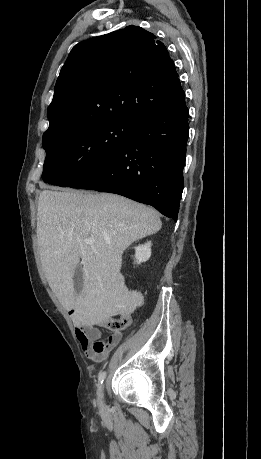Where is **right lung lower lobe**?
Here are the masks:
<instances>
[{
	"mask_svg": "<svg viewBox=\"0 0 261 459\" xmlns=\"http://www.w3.org/2000/svg\"><path fill=\"white\" fill-rule=\"evenodd\" d=\"M188 114L184 95L170 108L141 121L117 154L69 187L119 194L176 221L184 184Z\"/></svg>",
	"mask_w": 261,
	"mask_h": 459,
	"instance_id": "obj_1",
	"label": "right lung lower lobe"
}]
</instances>
